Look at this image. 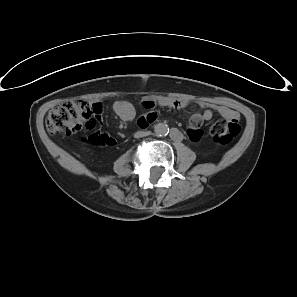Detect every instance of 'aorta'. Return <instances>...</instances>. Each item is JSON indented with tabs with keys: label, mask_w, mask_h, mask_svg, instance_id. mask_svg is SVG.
I'll list each match as a JSON object with an SVG mask.
<instances>
[{
	"label": "aorta",
	"mask_w": 297,
	"mask_h": 297,
	"mask_svg": "<svg viewBox=\"0 0 297 297\" xmlns=\"http://www.w3.org/2000/svg\"><path fill=\"white\" fill-rule=\"evenodd\" d=\"M154 131L159 136L167 135L169 132V127L167 124L164 123H158L154 127Z\"/></svg>",
	"instance_id": "762f6f07"
}]
</instances>
